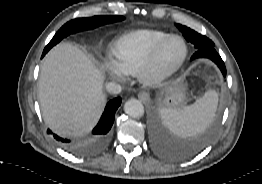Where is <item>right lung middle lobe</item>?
Returning <instances> with one entry per match:
<instances>
[{"instance_id": "1", "label": "right lung middle lobe", "mask_w": 262, "mask_h": 184, "mask_svg": "<svg viewBox=\"0 0 262 184\" xmlns=\"http://www.w3.org/2000/svg\"><path fill=\"white\" fill-rule=\"evenodd\" d=\"M124 20L123 16L101 15L88 18H78L67 22L60 30L55 34L49 44L45 47L43 55H45L50 48L60 42L63 38L69 34L76 33L78 31L88 30L96 28L100 25Z\"/></svg>"}]
</instances>
